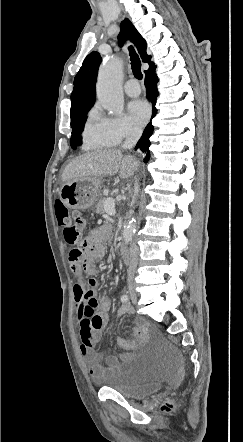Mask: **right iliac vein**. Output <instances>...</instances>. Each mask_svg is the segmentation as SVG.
I'll return each instance as SVG.
<instances>
[{
  "label": "right iliac vein",
  "instance_id": "right-iliac-vein-1",
  "mask_svg": "<svg viewBox=\"0 0 243 442\" xmlns=\"http://www.w3.org/2000/svg\"><path fill=\"white\" fill-rule=\"evenodd\" d=\"M127 290H128L127 292H128V294H129L131 300H132L134 303H136V302H137V294H136V291H135V289H134V285H133V284H129Z\"/></svg>",
  "mask_w": 243,
  "mask_h": 442
}]
</instances>
